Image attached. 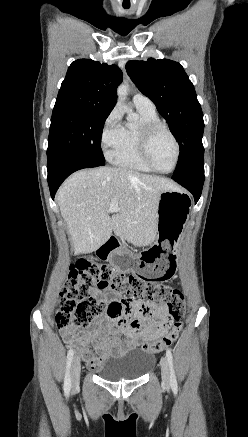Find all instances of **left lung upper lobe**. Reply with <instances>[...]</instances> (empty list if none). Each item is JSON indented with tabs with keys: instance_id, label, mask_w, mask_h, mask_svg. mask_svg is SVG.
<instances>
[{
	"instance_id": "1",
	"label": "left lung upper lobe",
	"mask_w": 248,
	"mask_h": 437,
	"mask_svg": "<svg viewBox=\"0 0 248 437\" xmlns=\"http://www.w3.org/2000/svg\"><path fill=\"white\" fill-rule=\"evenodd\" d=\"M126 70L137 88L151 99L180 146L173 176L204 165L203 113L193 84L183 67L168 59L129 61Z\"/></svg>"
}]
</instances>
